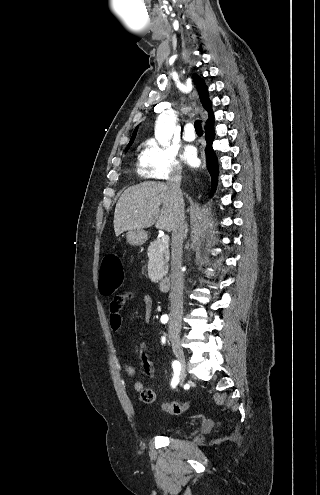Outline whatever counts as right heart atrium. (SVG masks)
Returning <instances> with one entry per match:
<instances>
[{
  "label": "right heart atrium",
  "instance_id": "right-heart-atrium-1",
  "mask_svg": "<svg viewBox=\"0 0 320 495\" xmlns=\"http://www.w3.org/2000/svg\"><path fill=\"white\" fill-rule=\"evenodd\" d=\"M140 167L145 176L155 180H166L179 176L182 172L175 149L160 146L154 141L146 144L141 155Z\"/></svg>",
  "mask_w": 320,
  "mask_h": 495
}]
</instances>
